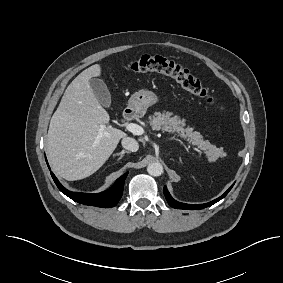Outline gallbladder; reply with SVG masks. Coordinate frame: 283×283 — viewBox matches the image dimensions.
I'll return each mask as SVG.
<instances>
[{
	"label": "gallbladder",
	"mask_w": 283,
	"mask_h": 283,
	"mask_svg": "<svg viewBox=\"0 0 283 283\" xmlns=\"http://www.w3.org/2000/svg\"><path fill=\"white\" fill-rule=\"evenodd\" d=\"M90 86L99 103L104 107H109L111 104V94L105 82L98 78H92L90 79Z\"/></svg>",
	"instance_id": "obj_1"
}]
</instances>
